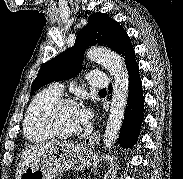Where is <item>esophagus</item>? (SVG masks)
I'll list each match as a JSON object with an SVG mask.
<instances>
[{
  "label": "esophagus",
  "mask_w": 183,
  "mask_h": 179,
  "mask_svg": "<svg viewBox=\"0 0 183 179\" xmlns=\"http://www.w3.org/2000/svg\"><path fill=\"white\" fill-rule=\"evenodd\" d=\"M99 139H100V133L95 132L91 136L87 137L84 143L88 146H94L99 142Z\"/></svg>",
  "instance_id": "esophagus-1"
}]
</instances>
